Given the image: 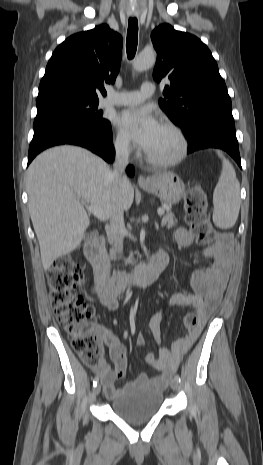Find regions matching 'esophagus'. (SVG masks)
Masks as SVG:
<instances>
[{
    "mask_svg": "<svg viewBox=\"0 0 263 465\" xmlns=\"http://www.w3.org/2000/svg\"><path fill=\"white\" fill-rule=\"evenodd\" d=\"M149 183H150V180L147 179L145 176L140 175V176L138 177V184H139V185H146V184H149Z\"/></svg>",
    "mask_w": 263,
    "mask_h": 465,
    "instance_id": "34e87169",
    "label": "esophagus"
}]
</instances>
